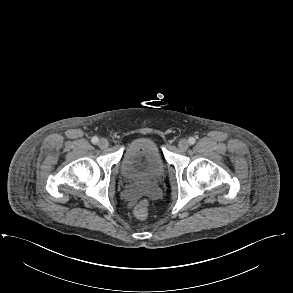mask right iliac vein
I'll return each instance as SVG.
<instances>
[{
  "mask_svg": "<svg viewBox=\"0 0 293 293\" xmlns=\"http://www.w3.org/2000/svg\"><path fill=\"white\" fill-rule=\"evenodd\" d=\"M98 145H99L100 148L105 149V148H107L109 146V142H108L107 139L102 138V139L99 140Z\"/></svg>",
  "mask_w": 293,
  "mask_h": 293,
  "instance_id": "right-iliac-vein-1",
  "label": "right iliac vein"
}]
</instances>
